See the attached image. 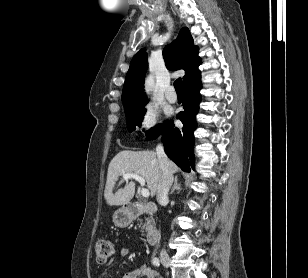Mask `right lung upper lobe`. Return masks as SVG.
Segmentation results:
<instances>
[{
  "instance_id": "cb5924a9",
  "label": "right lung upper lobe",
  "mask_w": 308,
  "mask_h": 278,
  "mask_svg": "<svg viewBox=\"0 0 308 278\" xmlns=\"http://www.w3.org/2000/svg\"><path fill=\"white\" fill-rule=\"evenodd\" d=\"M163 56L168 69L185 70L184 88L201 78V72L198 69L201 64L198 47L193 45V38L188 28H182L177 40L164 48ZM147 67V54L144 49H141L133 57L126 75L122 93L125 110L147 104V97L142 90Z\"/></svg>"
}]
</instances>
